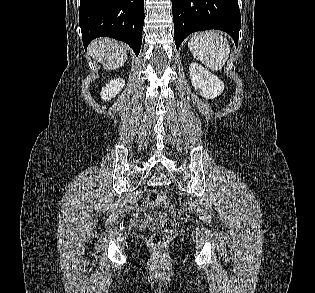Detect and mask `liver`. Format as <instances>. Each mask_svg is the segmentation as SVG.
<instances>
[{"mask_svg": "<svg viewBox=\"0 0 315 293\" xmlns=\"http://www.w3.org/2000/svg\"><path fill=\"white\" fill-rule=\"evenodd\" d=\"M89 52L99 62L106 60L104 68L107 70L117 69L127 60L125 48L118 42L108 38L94 40L89 46Z\"/></svg>", "mask_w": 315, "mask_h": 293, "instance_id": "1", "label": "liver"}]
</instances>
